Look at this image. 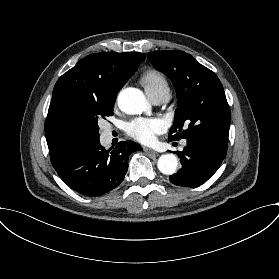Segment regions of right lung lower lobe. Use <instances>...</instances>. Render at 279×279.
I'll return each instance as SVG.
<instances>
[{"label": "right lung lower lobe", "instance_id": "98d812e1", "mask_svg": "<svg viewBox=\"0 0 279 279\" xmlns=\"http://www.w3.org/2000/svg\"><path fill=\"white\" fill-rule=\"evenodd\" d=\"M99 140L54 166L59 177L73 190L88 196H100L116 188L128 170L129 155L141 150L133 142H119L112 151Z\"/></svg>", "mask_w": 279, "mask_h": 279}]
</instances>
